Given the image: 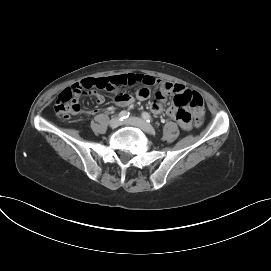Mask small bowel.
Returning a JSON list of instances; mask_svg holds the SVG:
<instances>
[{"mask_svg":"<svg viewBox=\"0 0 271 271\" xmlns=\"http://www.w3.org/2000/svg\"><path fill=\"white\" fill-rule=\"evenodd\" d=\"M95 81L97 88L114 94V101L118 106H129L133 104L136 99L141 101L146 100L150 96V87H156L157 91L150 106V109L154 114H160L164 111L166 96H181L190 92L181 84L166 82L153 76L140 73H126L96 79L87 78L81 83ZM136 83H140L142 86L137 90L136 96L134 97L126 93V91L129 86ZM91 94L95 97L98 104H101L104 101V97L100 93L92 91ZM97 112V109L91 111V113ZM166 114L170 118L176 119L183 130L188 131L192 128L191 114L187 108L183 107V105H178L174 102L166 110Z\"/></svg>","mask_w":271,"mask_h":271,"instance_id":"small-bowel-1","label":"small bowel"}]
</instances>
